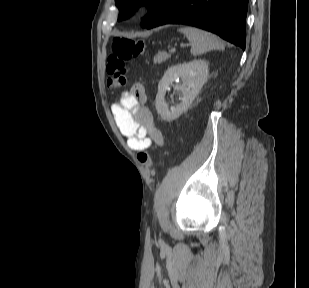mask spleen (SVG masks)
Segmentation results:
<instances>
[{
	"instance_id": "3e777b00",
	"label": "spleen",
	"mask_w": 309,
	"mask_h": 288,
	"mask_svg": "<svg viewBox=\"0 0 309 288\" xmlns=\"http://www.w3.org/2000/svg\"><path fill=\"white\" fill-rule=\"evenodd\" d=\"M179 31L183 33L191 43V54L200 55L213 49H223L221 40L214 34L195 27H183Z\"/></svg>"
}]
</instances>
